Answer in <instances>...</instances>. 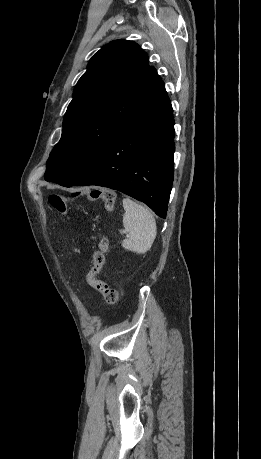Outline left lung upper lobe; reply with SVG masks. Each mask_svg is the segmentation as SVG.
Here are the masks:
<instances>
[{
	"label": "left lung upper lobe",
	"instance_id": "1",
	"mask_svg": "<svg viewBox=\"0 0 261 459\" xmlns=\"http://www.w3.org/2000/svg\"><path fill=\"white\" fill-rule=\"evenodd\" d=\"M162 82L138 44L116 40L101 48L74 88L45 180L60 184L89 163Z\"/></svg>",
	"mask_w": 261,
	"mask_h": 459
}]
</instances>
